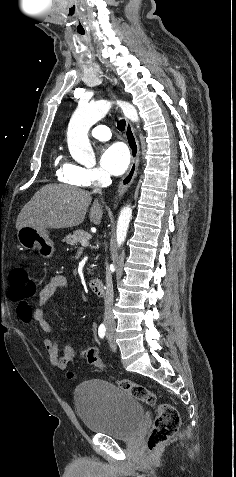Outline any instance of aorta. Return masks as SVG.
I'll use <instances>...</instances> for the list:
<instances>
[{
	"label": "aorta",
	"instance_id": "obj_1",
	"mask_svg": "<svg viewBox=\"0 0 236 477\" xmlns=\"http://www.w3.org/2000/svg\"><path fill=\"white\" fill-rule=\"evenodd\" d=\"M112 102L100 100L89 104H81L74 112L68 126L67 142L72 156L82 163H92L95 160V154L91 147L88 131L93 124L105 117ZM122 108L124 115L131 121L139 120L136 108L127 102L117 101ZM132 217L131 207L125 206L118 217L116 238L120 246L126 238L129 223Z\"/></svg>",
	"mask_w": 236,
	"mask_h": 477
}]
</instances>
